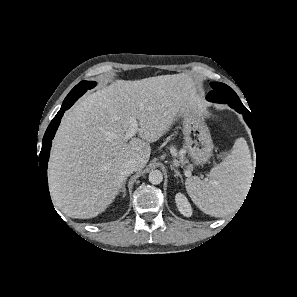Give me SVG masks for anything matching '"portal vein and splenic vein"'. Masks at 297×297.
I'll list each match as a JSON object with an SVG mask.
<instances>
[{
	"mask_svg": "<svg viewBox=\"0 0 297 297\" xmlns=\"http://www.w3.org/2000/svg\"><path fill=\"white\" fill-rule=\"evenodd\" d=\"M139 131L138 124L136 120H132L130 123V127L126 132L125 140L128 141Z\"/></svg>",
	"mask_w": 297,
	"mask_h": 297,
	"instance_id": "1",
	"label": "portal vein and splenic vein"
}]
</instances>
